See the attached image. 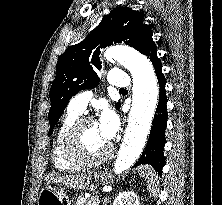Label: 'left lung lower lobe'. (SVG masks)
I'll list each match as a JSON object with an SVG mask.
<instances>
[{"label":"left lung lower lobe","instance_id":"obj_1","mask_svg":"<svg viewBox=\"0 0 222 205\" xmlns=\"http://www.w3.org/2000/svg\"><path fill=\"white\" fill-rule=\"evenodd\" d=\"M141 53L150 58V61L154 65L160 87V94L146 148L135 164V167L141 164H150L160 174L164 166L163 149L166 142L165 129L167 123V98L165 90V77L162 73V63L157 57V47L152 39V35L146 39Z\"/></svg>","mask_w":222,"mask_h":205}]
</instances>
